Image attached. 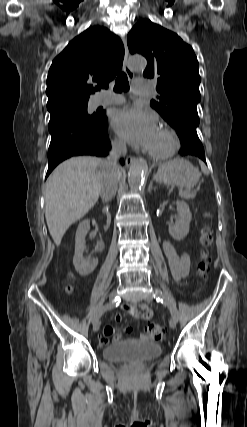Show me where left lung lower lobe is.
Listing matches in <instances>:
<instances>
[{
  "label": "left lung lower lobe",
  "mask_w": 247,
  "mask_h": 427,
  "mask_svg": "<svg viewBox=\"0 0 247 427\" xmlns=\"http://www.w3.org/2000/svg\"><path fill=\"white\" fill-rule=\"evenodd\" d=\"M175 129L182 142V148L179 153L184 156H195L206 163L204 148L197 135L196 127L180 124Z\"/></svg>",
  "instance_id": "0a47b994"
}]
</instances>
